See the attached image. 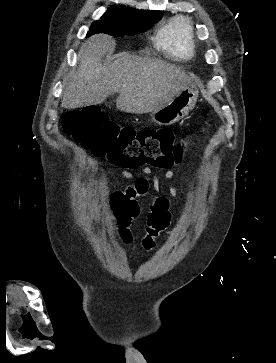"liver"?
Instances as JSON below:
<instances>
[{"label":"liver","instance_id":"liver-1","mask_svg":"<svg viewBox=\"0 0 276 363\" xmlns=\"http://www.w3.org/2000/svg\"><path fill=\"white\" fill-rule=\"evenodd\" d=\"M114 46L115 41L105 34L94 35L83 43L78 68L64 81L62 108L101 104L117 92V109L142 114L165 105L192 82L177 66L126 52L103 64V57Z\"/></svg>","mask_w":276,"mask_h":363}]
</instances>
